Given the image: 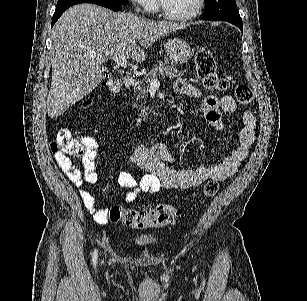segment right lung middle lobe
I'll use <instances>...</instances> for the list:
<instances>
[{
    "label": "right lung middle lobe",
    "mask_w": 307,
    "mask_h": 301,
    "mask_svg": "<svg viewBox=\"0 0 307 301\" xmlns=\"http://www.w3.org/2000/svg\"><path fill=\"white\" fill-rule=\"evenodd\" d=\"M80 0H58L57 2V6H61V5H65V4H69V3H73V2H78ZM117 2L121 3V4H127L128 0H116Z\"/></svg>",
    "instance_id": "right-lung-middle-lobe-1"
}]
</instances>
